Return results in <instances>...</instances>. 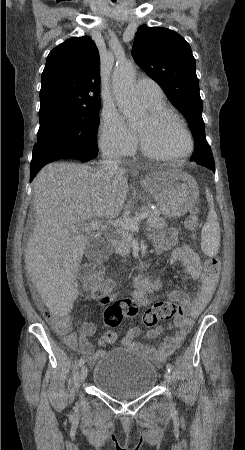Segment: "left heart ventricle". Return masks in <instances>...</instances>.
Listing matches in <instances>:
<instances>
[{"label":"left heart ventricle","instance_id":"obj_1","mask_svg":"<svg viewBox=\"0 0 245 450\" xmlns=\"http://www.w3.org/2000/svg\"><path fill=\"white\" fill-rule=\"evenodd\" d=\"M137 132L151 151L161 155H180L189 147L185 132L168 118L155 122L148 115L137 127Z\"/></svg>","mask_w":245,"mask_h":450}]
</instances>
